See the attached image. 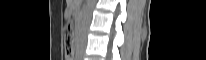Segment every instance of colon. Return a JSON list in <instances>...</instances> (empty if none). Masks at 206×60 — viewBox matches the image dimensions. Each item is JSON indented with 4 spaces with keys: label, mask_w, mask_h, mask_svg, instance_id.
<instances>
[{
    "label": "colon",
    "mask_w": 206,
    "mask_h": 60,
    "mask_svg": "<svg viewBox=\"0 0 206 60\" xmlns=\"http://www.w3.org/2000/svg\"><path fill=\"white\" fill-rule=\"evenodd\" d=\"M65 37L67 41V55L69 59L72 60L73 55V30L71 26L65 28Z\"/></svg>",
    "instance_id": "1"
}]
</instances>
